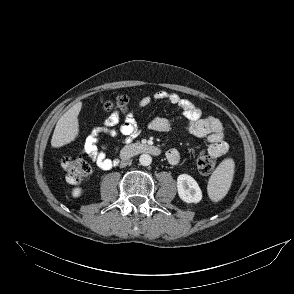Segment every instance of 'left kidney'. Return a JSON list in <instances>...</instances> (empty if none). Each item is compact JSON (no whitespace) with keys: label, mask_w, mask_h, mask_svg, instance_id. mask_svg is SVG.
Instances as JSON below:
<instances>
[{"label":"left kidney","mask_w":294,"mask_h":294,"mask_svg":"<svg viewBox=\"0 0 294 294\" xmlns=\"http://www.w3.org/2000/svg\"><path fill=\"white\" fill-rule=\"evenodd\" d=\"M178 195L186 203H198L202 199V191L193 177L181 174L177 178Z\"/></svg>","instance_id":"obj_1"}]
</instances>
